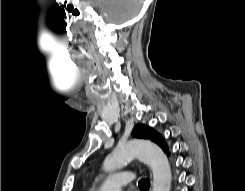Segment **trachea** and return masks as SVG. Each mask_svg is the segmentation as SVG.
<instances>
[{
  "instance_id": "3493384b",
  "label": "trachea",
  "mask_w": 245,
  "mask_h": 191,
  "mask_svg": "<svg viewBox=\"0 0 245 191\" xmlns=\"http://www.w3.org/2000/svg\"><path fill=\"white\" fill-rule=\"evenodd\" d=\"M83 55L84 57L92 64H95L94 63V60L93 58L91 57V55L87 52H83ZM138 186H139V189L142 190V191H147L149 189V186H150V182L148 179H141L139 180L138 182Z\"/></svg>"
}]
</instances>
